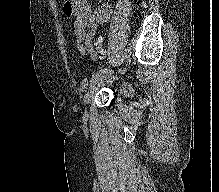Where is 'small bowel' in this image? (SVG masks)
Segmentation results:
<instances>
[{
  "mask_svg": "<svg viewBox=\"0 0 219 192\" xmlns=\"http://www.w3.org/2000/svg\"><path fill=\"white\" fill-rule=\"evenodd\" d=\"M64 13L74 18V37L77 41L78 51L84 55L89 51L91 59H96L97 54L91 51V42L96 34L99 24L110 19L112 8L108 2L92 7L89 0H65Z\"/></svg>",
  "mask_w": 219,
  "mask_h": 192,
  "instance_id": "1",
  "label": "small bowel"
}]
</instances>
